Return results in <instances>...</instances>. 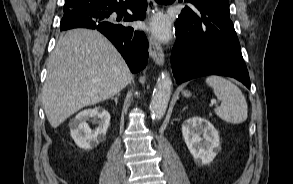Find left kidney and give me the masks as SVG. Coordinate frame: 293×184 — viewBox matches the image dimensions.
I'll return each mask as SVG.
<instances>
[{
  "label": "left kidney",
  "instance_id": "1",
  "mask_svg": "<svg viewBox=\"0 0 293 184\" xmlns=\"http://www.w3.org/2000/svg\"><path fill=\"white\" fill-rule=\"evenodd\" d=\"M182 134L196 164L206 165L213 161L220 149V139L208 120L198 116L187 119L182 125Z\"/></svg>",
  "mask_w": 293,
  "mask_h": 184
}]
</instances>
